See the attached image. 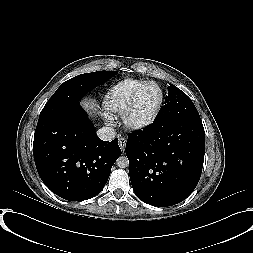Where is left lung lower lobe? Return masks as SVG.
<instances>
[{"mask_svg":"<svg viewBox=\"0 0 253 253\" xmlns=\"http://www.w3.org/2000/svg\"><path fill=\"white\" fill-rule=\"evenodd\" d=\"M205 132L200 117L175 118L131 133L126 143L133 190L159 207L186 199L199 182Z\"/></svg>","mask_w":253,"mask_h":253,"instance_id":"0a47b994","label":"left lung lower lobe"}]
</instances>
